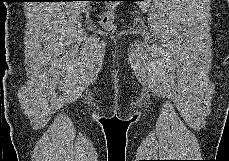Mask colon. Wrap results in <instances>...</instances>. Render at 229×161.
<instances>
[{"label":"colon","mask_w":229,"mask_h":161,"mask_svg":"<svg viewBox=\"0 0 229 161\" xmlns=\"http://www.w3.org/2000/svg\"><path fill=\"white\" fill-rule=\"evenodd\" d=\"M107 5L108 9L100 16V24L101 26L108 30V31H113L115 29V9L118 4H116L117 1H109Z\"/></svg>","instance_id":"colon-1"}]
</instances>
